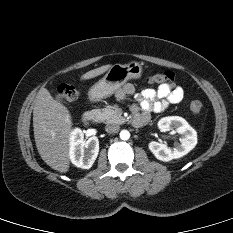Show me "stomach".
<instances>
[{
  "label": "stomach",
  "mask_w": 233,
  "mask_h": 233,
  "mask_svg": "<svg viewBox=\"0 0 233 233\" xmlns=\"http://www.w3.org/2000/svg\"><path fill=\"white\" fill-rule=\"evenodd\" d=\"M142 73L143 68L136 61L124 65L114 64L104 77L91 87L89 97L92 100L107 98L120 89L128 80L140 78Z\"/></svg>",
  "instance_id": "1"
}]
</instances>
